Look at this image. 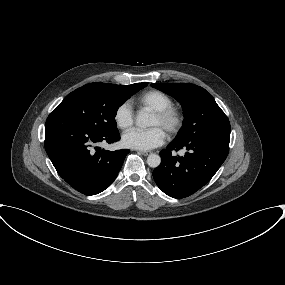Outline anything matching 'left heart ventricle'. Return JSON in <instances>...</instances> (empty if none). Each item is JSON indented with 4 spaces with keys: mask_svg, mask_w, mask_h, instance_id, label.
I'll return each mask as SVG.
<instances>
[{
    "mask_svg": "<svg viewBox=\"0 0 285 285\" xmlns=\"http://www.w3.org/2000/svg\"><path fill=\"white\" fill-rule=\"evenodd\" d=\"M150 126H158L164 130V125L163 123L159 120V118L155 115L152 116L151 121L149 123Z\"/></svg>",
    "mask_w": 285,
    "mask_h": 285,
    "instance_id": "obj_1",
    "label": "left heart ventricle"
}]
</instances>
